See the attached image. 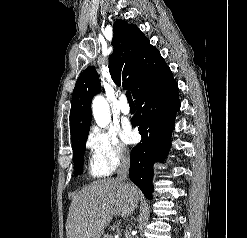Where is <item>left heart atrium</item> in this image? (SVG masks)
I'll use <instances>...</instances> for the list:
<instances>
[{
	"label": "left heart atrium",
	"instance_id": "1",
	"mask_svg": "<svg viewBox=\"0 0 247 238\" xmlns=\"http://www.w3.org/2000/svg\"><path fill=\"white\" fill-rule=\"evenodd\" d=\"M122 137L126 142L130 143L134 141L135 134L131 131L129 127H125L122 131Z\"/></svg>",
	"mask_w": 247,
	"mask_h": 238
}]
</instances>
